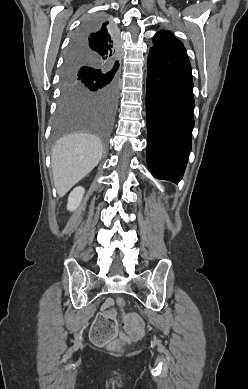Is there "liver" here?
Instances as JSON below:
<instances>
[{"label":"liver","instance_id":"1","mask_svg":"<svg viewBox=\"0 0 248 389\" xmlns=\"http://www.w3.org/2000/svg\"><path fill=\"white\" fill-rule=\"evenodd\" d=\"M51 157L54 185L58 195L63 197L98 165L102 143L92 134H68L56 142Z\"/></svg>","mask_w":248,"mask_h":389}]
</instances>
